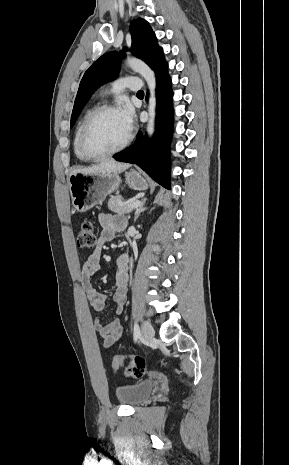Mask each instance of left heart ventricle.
Listing matches in <instances>:
<instances>
[{"label":"left heart ventricle","mask_w":289,"mask_h":465,"mask_svg":"<svg viewBox=\"0 0 289 465\" xmlns=\"http://www.w3.org/2000/svg\"><path fill=\"white\" fill-rule=\"evenodd\" d=\"M118 111L102 114L94 123L90 135V148L104 152L120 146L128 137Z\"/></svg>","instance_id":"left-heart-ventricle-1"}]
</instances>
